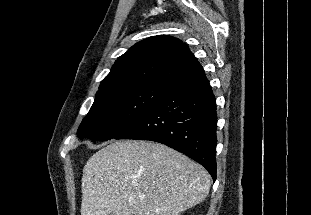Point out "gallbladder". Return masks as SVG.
Here are the masks:
<instances>
[{
    "instance_id": "bac80fb5",
    "label": "gallbladder",
    "mask_w": 311,
    "mask_h": 215,
    "mask_svg": "<svg viewBox=\"0 0 311 215\" xmlns=\"http://www.w3.org/2000/svg\"><path fill=\"white\" fill-rule=\"evenodd\" d=\"M109 215H114L113 213H110Z\"/></svg>"
}]
</instances>
